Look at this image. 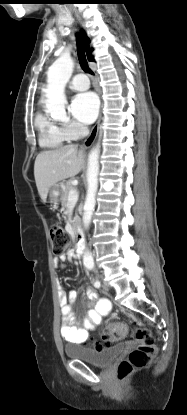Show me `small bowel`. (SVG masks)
Masks as SVG:
<instances>
[{
  "mask_svg": "<svg viewBox=\"0 0 187 415\" xmlns=\"http://www.w3.org/2000/svg\"><path fill=\"white\" fill-rule=\"evenodd\" d=\"M72 255L62 254L55 258L54 262L60 267L71 258ZM76 292L71 290L64 291L62 288L58 291L59 305L62 313L61 335L62 338L70 344H83L87 341L91 330L99 326L102 318L108 315L111 310V302L106 298H99L93 289L86 292L88 299V310L82 325L74 323L73 303L76 299Z\"/></svg>",
  "mask_w": 187,
  "mask_h": 415,
  "instance_id": "small-bowel-1",
  "label": "small bowel"
}]
</instances>
